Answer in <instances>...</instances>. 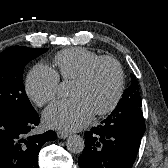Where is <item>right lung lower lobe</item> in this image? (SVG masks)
<instances>
[{"label":"right lung lower lobe","instance_id":"1","mask_svg":"<svg viewBox=\"0 0 168 168\" xmlns=\"http://www.w3.org/2000/svg\"><path fill=\"white\" fill-rule=\"evenodd\" d=\"M39 122L36 111L31 114L0 111V168H38L41 147L57 137L54 131L31 135Z\"/></svg>","mask_w":168,"mask_h":168}]
</instances>
